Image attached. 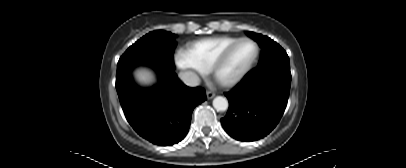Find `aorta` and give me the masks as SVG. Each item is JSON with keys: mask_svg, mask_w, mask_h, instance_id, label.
<instances>
[{"mask_svg": "<svg viewBox=\"0 0 406 168\" xmlns=\"http://www.w3.org/2000/svg\"><path fill=\"white\" fill-rule=\"evenodd\" d=\"M213 107L217 111H225L228 108V100L225 97L217 96L213 100Z\"/></svg>", "mask_w": 406, "mask_h": 168, "instance_id": "aorta-1", "label": "aorta"}]
</instances>
